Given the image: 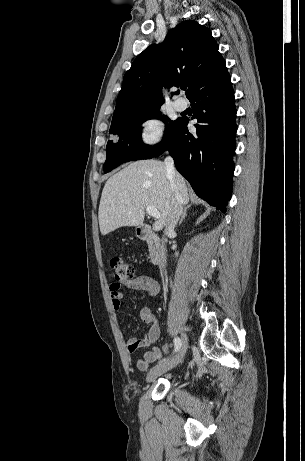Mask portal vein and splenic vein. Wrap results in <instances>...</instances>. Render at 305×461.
<instances>
[{"mask_svg":"<svg viewBox=\"0 0 305 461\" xmlns=\"http://www.w3.org/2000/svg\"><path fill=\"white\" fill-rule=\"evenodd\" d=\"M146 211H147V214L153 218H160V213L158 212V210L153 207V206H147L146 207Z\"/></svg>","mask_w":305,"mask_h":461,"instance_id":"portal-vein-and-splenic-vein-1","label":"portal vein and splenic vein"}]
</instances>
